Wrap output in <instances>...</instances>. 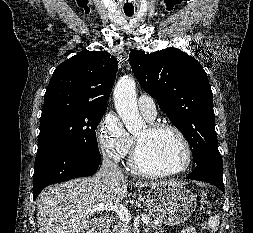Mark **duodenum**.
<instances>
[{
	"label": "duodenum",
	"instance_id": "duodenum-1",
	"mask_svg": "<svg viewBox=\"0 0 253 233\" xmlns=\"http://www.w3.org/2000/svg\"><path fill=\"white\" fill-rule=\"evenodd\" d=\"M111 221L112 219L108 215L101 217V222L94 227L93 233H106Z\"/></svg>",
	"mask_w": 253,
	"mask_h": 233
}]
</instances>
